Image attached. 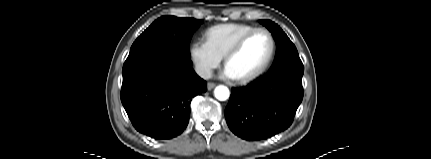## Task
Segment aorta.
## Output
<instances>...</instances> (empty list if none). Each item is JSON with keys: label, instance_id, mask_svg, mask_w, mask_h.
Wrapping results in <instances>:
<instances>
[{"label": "aorta", "instance_id": "762f6f07", "mask_svg": "<svg viewBox=\"0 0 431 159\" xmlns=\"http://www.w3.org/2000/svg\"><path fill=\"white\" fill-rule=\"evenodd\" d=\"M214 95L218 100L225 101L229 98L230 91L226 86L220 85L215 88Z\"/></svg>", "mask_w": 431, "mask_h": 159}]
</instances>
